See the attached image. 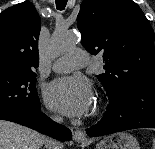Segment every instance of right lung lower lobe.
<instances>
[{
	"label": "right lung lower lobe",
	"mask_w": 155,
	"mask_h": 149,
	"mask_svg": "<svg viewBox=\"0 0 155 149\" xmlns=\"http://www.w3.org/2000/svg\"><path fill=\"white\" fill-rule=\"evenodd\" d=\"M0 119L27 126L31 129L39 131L40 133L51 136L59 141H69L72 139L71 131L63 125L54 122L44 113L40 112V106L31 116L26 118H17L0 114Z\"/></svg>",
	"instance_id": "98d812e1"
}]
</instances>
